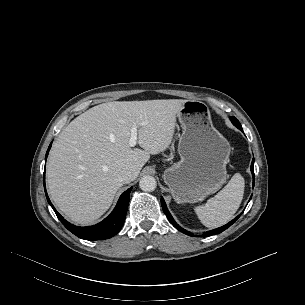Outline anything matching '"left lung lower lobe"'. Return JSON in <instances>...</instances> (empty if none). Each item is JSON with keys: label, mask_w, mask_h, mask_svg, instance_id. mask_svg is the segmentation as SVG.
I'll return each instance as SVG.
<instances>
[{"label": "left lung lower lobe", "mask_w": 305, "mask_h": 305, "mask_svg": "<svg viewBox=\"0 0 305 305\" xmlns=\"http://www.w3.org/2000/svg\"><path fill=\"white\" fill-rule=\"evenodd\" d=\"M241 130H242V129H241ZM251 172H252V174H253V186H254V158H253L252 163H251ZM250 199H251V198H250ZM161 204H162V208H163L164 213L166 214L168 220L173 224V226H174L175 228H177L179 231H181V232H183V233H185V234L191 236V233H190V232H188V231L184 230L183 228H181V227L174 221V219L172 218L171 214L169 213V211H168V209H167V207H166V204H165V202H164L163 199H161ZM242 213H243V212H242ZM242 213H241V214H242ZM241 214H239L235 219H233L232 221H230V222L227 223L226 225H224V226H222V227H220V228L214 229V230H212V231H208V232L204 233V234L202 235V237H207V236H211V235H214V234H219V233H221L222 231L226 230L229 226H231V225L241 216Z\"/></svg>", "instance_id": "0a47b994"}]
</instances>
